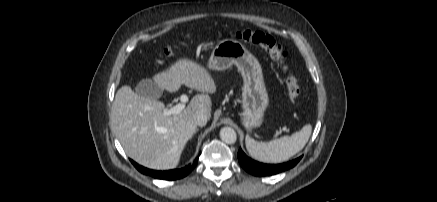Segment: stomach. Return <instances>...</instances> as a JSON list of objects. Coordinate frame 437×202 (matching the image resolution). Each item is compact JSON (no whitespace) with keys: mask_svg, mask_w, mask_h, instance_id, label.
<instances>
[{"mask_svg":"<svg viewBox=\"0 0 437 202\" xmlns=\"http://www.w3.org/2000/svg\"><path fill=\"white\" fill-rule=\"evenodd\" d=\"M235 65L243 77L241 123L247 131L263 124L269 105L268 92L264 83L262 68L258 60L239 41L226 39L213 49L208 67L212 70H226Z\"/></svg>","mask_w":437,"mask_h":202,"instance_id":"stomach-1","label":"stomach"}]
</instances>
